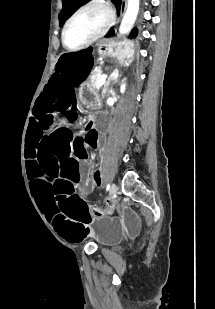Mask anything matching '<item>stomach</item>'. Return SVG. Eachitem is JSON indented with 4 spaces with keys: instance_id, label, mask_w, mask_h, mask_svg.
I'll return each instance as SVG.
<instances>
[{
    "instance_id": "1",
    "label": "stomach",
    "mask_w": 215,
    "mask_h": 309,
    "mask_svg": "<svg viewBox=\"0 0 215 309\" xmlns=\"http://www.w3.org/2000/svg\"><path fill=\"white\" fill-rule=\"evenodd\" d=\"M98 53L102 57H109L124 64L134 56V43L127 38L123 40L106 39L99 42ZM97 92L98 89L88 82L82 86L80 94L84 99L93 103L99 100Z\"/></svg>"
}]
</instances>
